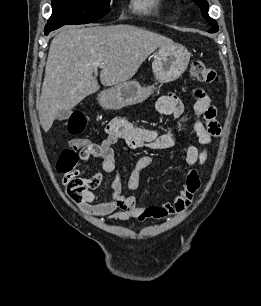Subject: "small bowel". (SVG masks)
I'll return each instance as SVG.
<instances>
[{
  "mask_svg": "<svg viewBox=\"0 0 261 306\" xmlns=\"http://www.w3.org/2000/svg\"><path fill=\"white\" fill-rule=\"evenodd\" d=\"M193 105V132L197 138L199 149L194 144H188L181 155V159L187 168L186 180L179 193L172 202H164L159 205L143 206L136 202L133 196L122 193V181L120 176L112 185L111 197L107 201H97L94 189L101 181V175L97 174L85 179L90 184L82 193L81 209L95 217H107L110 220L127 221L130 219H163L171 215L181 214L192 204L194 194L200 186L197 166L204 164L208 157V147L212 139L221 135V127L216 120V108L211 105L210 98L202 91H196ZM156 110L163 115H172L176 118L185 112L182 100L174 95L161 96L156 102ZM106 138L99 145L102 155L99 158L101 169L105 173L115 171V152L113 146L124 140L126 145L136 150L139 148L164 149L171 147L177 141L175 134L163 133L158 129L141 128L124 119H115L106 127ZM84 159H89L84 153H80ZM152 164L150 156L141 157L128 179V189L134 191L139 185L141 173ZM81 175V172H79Z\"/></svg>",
  "mask_w": 261,
  "mask_h": 306,
  "instance_id": "small-bowel-1",
  "label": "small bowel"
}]
</instances>
